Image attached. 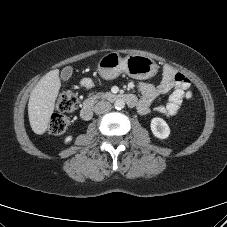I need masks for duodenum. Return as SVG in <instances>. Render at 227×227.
I'll return each instance as SVG.
<instances>
[{"label": "duodenum", "instance_id": "duodenum-1", "mask_svg": "<svg viewBox=\"0 0 227 227\" xmlns=\"http://www.w3.org/2000/svg\"><path fill=\"white\" fill-rule=\"evenodd\" d=\"M102 98L105 100L111 101V102L117 101V100H122L131 107H134L135 105H137V99L132 94L106 93L102 96ZM94 104H95V99H88L85 101V103L81 109V112H80V116L83 120H90L92 118Z\"/></svg>", "mask_w": 227, "mask_h": 227}]
</instances>
